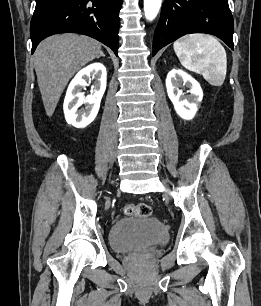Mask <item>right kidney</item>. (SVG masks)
<instances>
[{"label": "right kidney", "mask_w": 261, "mask_h": 306, "mask_svg": "<svg viewBox=\"0 0 261 306\" xmlns=\"http://www.w3.org/2000/svg\"><path fill=\"white\" fill-rule=\"evenodd\" d=\"M91 76L95 80L94 93L85 97L82 88L87 85L86 79ZM106 80V68L101 63L90 64L76 74L69 84L63 104L68 124L76 128H84L96 118L106 89ZM83 103L89 106L85 110H78Z\"/></svg>", "instance_id": "ca27d5eb"}]
</instances>
